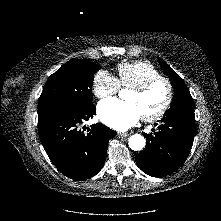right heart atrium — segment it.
I'll list each match as a JSON object with an SVG mask.
<instances>
[{"instance_id": "obj_1", "label": "right heart atrium", "mask_w": 221, "mask_h": 221, "mask_svg": "<svg viewBox=\"0 0 221 221\" xmlns=\"http://www.w3.org/2000/svg\"><path fill=\"white\" fill-rule=\"evenodd\" d=\"M120 86L118 79L105 70L98 71L92 82L93 93L99 99L115 95Z\"/></svg>"}]
</instances>
